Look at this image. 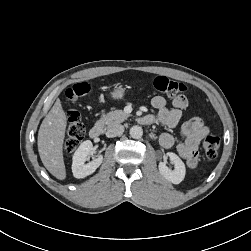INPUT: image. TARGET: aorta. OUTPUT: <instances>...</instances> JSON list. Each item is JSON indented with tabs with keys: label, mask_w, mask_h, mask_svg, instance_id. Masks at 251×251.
I'll return each instance as SVG.
<instances>
[{
	"label": "aorta",
	"mask_w": 251,
	"mask_h": 251,
	"mask_svg": "<svg viewBox=\"0 0 251 251\" xmlns=\"http://www.w3.org/2000/svg\"><path fill=\"white\" fill-rule=\"evenodd\" d=\"M143 135V129L140 126H132L130 128V136L133 139H139Z\"/></svg>",
	"instance_id": "1"
}]
</instances>
